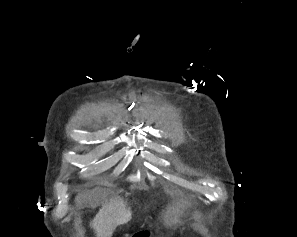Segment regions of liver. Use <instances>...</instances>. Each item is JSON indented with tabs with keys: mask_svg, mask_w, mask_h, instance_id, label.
<instances>
[{
	"mask_svg": "<svg viewBox=\"0 0 297 237\" xmlns=\"http://www.w3.org/2000/svg\"><path fill=\"white\" fill-rule=\"evenodd\" d=\"M131 209L121 197L111 198L105 203L90 223L97 237H111L117 226L128 223Z\"/></svg>",
	"mask_w": 297,
	"mask_h": 237,
	"instance_id": "obj_1",
	"label": "liver"
}]
</instances>
